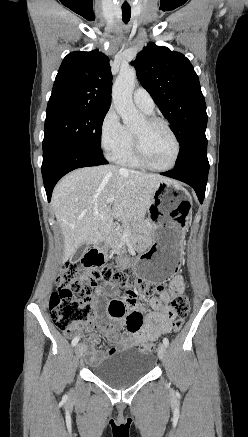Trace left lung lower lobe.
I'll return each instance as SVG.
<instances>
[{
	"label": "left lung lower lobe",
	"instance_id": "0a47b994",
	"mask_svg": "<svg viewBox=\"0 0 248 437\" xmlns=\"http://www.w3.org/2000/svg\"><path fill=\"white\" fill-rule=\"evenodd\" d=\"M209 171L207 144L195 150L183 163L162 175L180 180L190 185L196 192L200 203L203 202Z\"/></svg>",
	"mask_w": 248,
	"mask_h": 437
}]
</instances>
